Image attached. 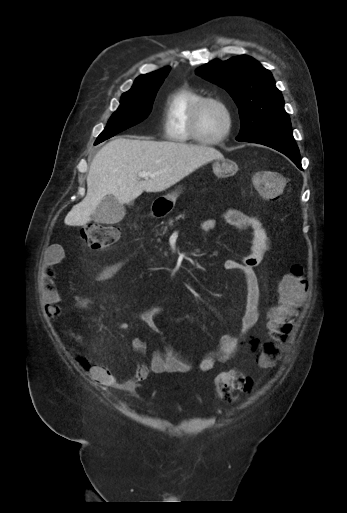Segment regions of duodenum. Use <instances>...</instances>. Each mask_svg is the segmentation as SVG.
I'll list each match as a JSON object with an SVG mask.
<instances>
[{"mask_svg": "<svg viewBox=\"0 0 347 513\" xmlns=\"http://www.w3.org/2000/svg\"><path fill=\"white\" fill-rule=\"evenodd\" d=\"M165 209V205L162 202L155 201L152 206V212L155 215H160Z\"/></svg>", "mask_w": 347, "mask_h": 513, "instance_id": "duodenum-1", "label": "duodenum"}]
</instances>
